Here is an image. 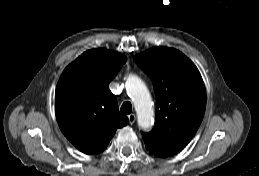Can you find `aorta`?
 <instances>
[{
	"mask_svg": "<svg viewBox=\"0 0 259 176\" xmlns=\"http://www.w3.org/2000/svg\"><path fill=\"white\" fill-rule=\"evenodd\" d=\"M127 91L132 97L138 115V124L142 129H148L153 124L152 100L144 82L135 75H130L127 81Z\"/></svg>",
	"mask_w": 259,
	"mask_h": 176,
	"instance_id": "762f6f07",
	"label": "aorta"
}]
</instances>
